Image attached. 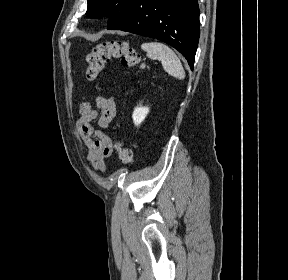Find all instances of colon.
Returning <instances> with one entry per match:
<instances>
[{"label": "colon", "mask_w": 288, "mask_h": 280, "mask_svg": "<svg viewBox=\"0 0 288 280\" xmlns=\"http://www.w3.org/2000/svg\"><path fill=\"white\" fill-rule=\"evenodd\" d=\"M113 58L120 59L122 64L127 67H139L141 69L145 67L138 51L128 42L123 40H108L97 45L88 54L86 59V78L88 80H95L104 70L107 63ZM113 146L122 163L129 165L134 162L132 151L124 147L122 142L115 141Z\"/></svg>", "instance_id": "colon-1"}]
</instances>
